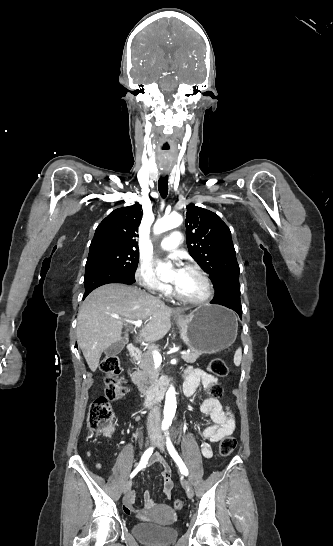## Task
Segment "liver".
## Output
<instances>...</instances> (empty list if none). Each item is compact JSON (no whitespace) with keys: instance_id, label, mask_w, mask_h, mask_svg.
Instances as JSON below:
<instances>
[{"instance_id":"obj_1","label":"liver","mask_w":333,"mask_h":546,"mask_svg":"<svg viewBox=\"0 0 333 546\" xmlns=\"http://www.w3.org/2000/svg\"><path fill=\"white\" fill-rule=\"evenodd\" d=\"M172 309L137 287L110 283L91 292L80 307L77 342L96 371L103 351L122 338L125 320H146L136 341L156 342L171 328Z\"/></svg>"}]
</instances>
